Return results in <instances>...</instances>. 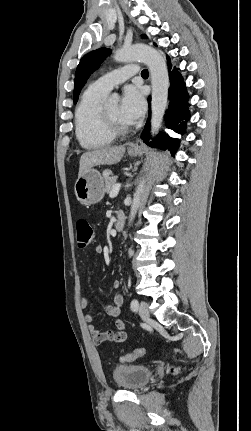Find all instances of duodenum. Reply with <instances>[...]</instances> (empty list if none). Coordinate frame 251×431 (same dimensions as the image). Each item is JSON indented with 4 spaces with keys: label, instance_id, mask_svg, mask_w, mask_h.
<instances>
[{
    "label": "duodenum",
    "instance_id": "410a0bca",
    "mask_svg": "<svg viewBox=\"0 0 251 431\" xmlns=\"http://www.w3.org/2000/svg\"><path fill=\"white\" fill-rule=\"evenodd\" d=\"M125 225V215L123 212H117L115 228L117 231H121Z\"/></svg>",
    "mask_w": 251,
    "mask_h": 431
}]
</instances>
